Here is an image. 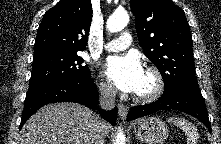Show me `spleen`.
<instances>
[{"label": "spleen", "instance_id": "3e777b00", "mask_svg": "<svg viewBox=\"0 0 221 144\" xmlns=\"http://www.w3.org/2000/svg\"><path fill=\"white\" fill-rule=\"evenodd\" d=\"M168 122L178 126L185 133L188 144H197L200 136L197 128L190 121L181 117H170Z\"/></svg>", "mask_w": 221, "mask_h": 144}]
</instances>
